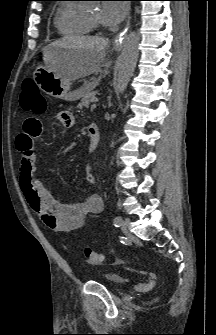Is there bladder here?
<instances>
[{
	"label": "bladder",
	"mask_w": 216,
	"mask_h": 335,
	"mask_svg": "<svg viewBox=\"0 0 216 335\" xmlns=\"http://www.w3.org/2000/svg\"><path fill=\"white\" fill-rule=\"evenodd\" d=\"M102 280L112 285L113 287L119 286L123 281L122 277L116 273L106 274L103 276Z\"/></svg>",
	"instance_id": "1"
}]
</instances>
